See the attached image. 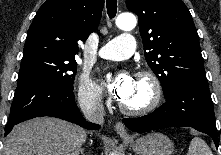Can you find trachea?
<instances>
[{
  "instance_id": "3493384b",
  "label": "trachea",
  "mask_w": 221,
  "mask_h": 155,
  "mask_svg": "<svg viewBox=\"0 0 221 155\" xmlns=\"http://www.w3.org/2000/svg\"><path fill=\"white\" fill-rule=\"evenodd\" d=\"M107 13L110 18H114L117 13V0H106Z\"/></svg>"
}]
</instances>
